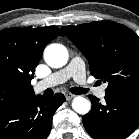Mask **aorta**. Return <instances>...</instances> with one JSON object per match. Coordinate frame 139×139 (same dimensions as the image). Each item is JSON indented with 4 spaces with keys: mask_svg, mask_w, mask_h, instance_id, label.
<instances>
[{
    "mask_svg": "<svg viewBox=\"0 0 139 139\" xmlns=\"http://www.w3.org/2000/svg\"><path fill=\"white\" fill-rule=\"evenodd\" d=\"M68 50L61 44H50L44 50V60L52 68H60L68 61ZM72 108L78 114L85 115L91 109V103L84 97L77 96L72 101Z\"/></svg>",
    "mask_w": 139,
    "mask_h": 139,
    "instance_id": "obj_1",
    "label": "aorta"
}]
</instances>
